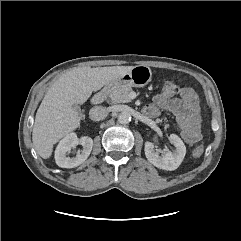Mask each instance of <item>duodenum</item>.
<instances>
[{
    "mask_svg": "<svg viewBox=\"0 0 241 241\" xmlns=\"http://www.w3.org/2000/svg\"><path fill=\"white\" fill-rule=\"evenodd\" d=\"M110 91H111V86L110 85L105 86L101 91H99L92 97V103L94 105L101 104L105 100V98L108 96Z\"/></svg>",
    "mask_w": 241,
    "mask_h": 241,
    "instance_id": "obj_1",
    "label": "duodenum"
}]
</instances>
